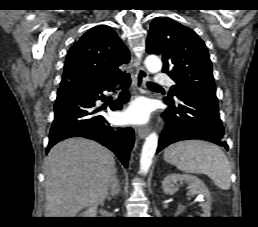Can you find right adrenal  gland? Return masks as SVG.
Wrapping results in <instances>:
<instances>
[{
    "mask_svg": "<svg viewBox=\"0 0 258 227\" xmlns=\"http://www.w3.org/2000/svg\"><path fill=\"white\" fill-rule=\"evenodd\" d=\"M116 173H117V169L115 168L112 181L110 182V197L108 198L109 200H111L113 197H116L121 190V185L117 178Z\"/></svg>",
    "mask_w": 258,
    "mask_h": 227,
    "instance_id": "right-adrenal-gland-1",
    "label": "right adrenal gland"
}]
</instances>
